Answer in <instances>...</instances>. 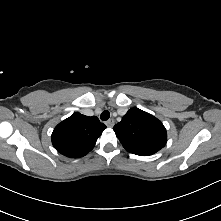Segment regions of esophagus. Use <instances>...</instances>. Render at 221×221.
I'll use <instances>...</instances> for the list:
<instances>
[{"instance_id":"obj_1","label":"esophagus","mask_w":221,"mask_h":221,"mask_svg":"<svg viewBox=\"0 0 221 221\" xmlns=\"http://www.w3.org/2000/svg\"><path fill=\"white\" fill-rule=\"evenodd\" d=\"M114 123H115L114 119L111 118V119L107 120L105 124H106L108 127H113V126H114Z\"/></svg>"}]
</instances>
